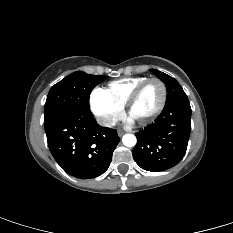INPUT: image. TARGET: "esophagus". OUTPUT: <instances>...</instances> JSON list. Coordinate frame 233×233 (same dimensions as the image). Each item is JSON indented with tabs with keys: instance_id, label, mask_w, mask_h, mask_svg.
<instances>
[{
	"instance_id": "1",
	"label": "esophagus",
	"mask_w": 233,
	"mask_h": 233,
	"mask_svg": "<svg viewBox=\"0 0 233 233\" xmlns=\"http://www.w3.org/2000/svg\"><path fill=\"white\" fill-rule=\"evenodd\" d=\"M124 134V132L122 130L118 131V136L121 137Z\"/></svg>"
}]
</instances>
